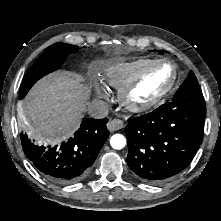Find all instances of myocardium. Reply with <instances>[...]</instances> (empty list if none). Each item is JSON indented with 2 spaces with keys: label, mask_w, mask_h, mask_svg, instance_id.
I'll use <instances>...</instances> for the list:
<instances>
[{
  "label": "myocardium",
  "mask_w": 221,
  "mask_h": 221,
  "mask_svg": "<svg viewBox=\"0 0 221 221\" xmlns=\"http://www.w3.org/2000/svg\"><path fill=\"white\" fill-rule=\"evenodd\" d=\"M166 66L170 69L171 76L166 86L158 93L146 100H137L133 97V92L142 80L156 67ZM178 79L177 67L168 60H153L136 76L129 80L119 90L121 104L130 112L143 113L158 106L162 100L173 90Z\"/></svg>",
  "instance_id": "obj_1"
}]
</instances>
